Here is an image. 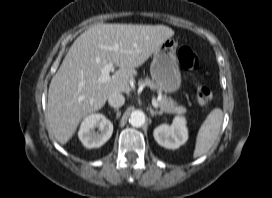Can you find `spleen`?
Masks as SVG:
<instances>
[{
	"label": "spleen",
	"mask_w": 272,
	"mask_h": 198,
	"mask_svg": "<svg viewBox=\"0 0 272 198\" xmlns=\"http://www.w3.org/2000/svg\"><path fill=\"white\" fill-rule=\"evenodd\" d=\"M222 121L223 112L220 108H215L208 114L197 134L195 150L193 153L194 158L206 154L214 145L219 135Z\"/></svg>",
	"instance_id": "3e777b00"
}]
</instances>
